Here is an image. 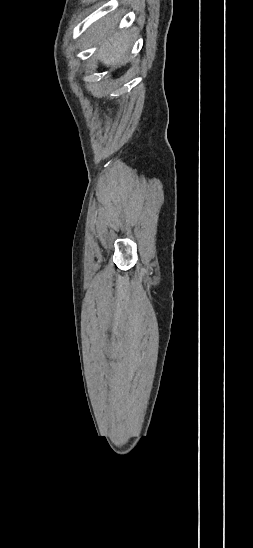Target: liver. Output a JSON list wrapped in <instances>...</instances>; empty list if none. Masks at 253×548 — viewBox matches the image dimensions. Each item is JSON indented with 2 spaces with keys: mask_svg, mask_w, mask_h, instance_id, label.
Listing matches in <instances>:
<instances>
[{
  "mask_svg": "<svg viewBox=\"0 0 253 548\" xmlns=\"http://www.w3.org/2000/svg\"><path fill=\"white\" fill-rule=\"evenodd\" d=\"M115 26V21L105 19L97 28H92L94 40L100 44L97 57L107 67L126 63L132 45L131 34L127 31L115 32Z\"/></svg>",
  "mask_w": 253,
  "mask_h": 548,
  "instance_id": "obj_1",
  "label": "liver"
}]
</instances>
